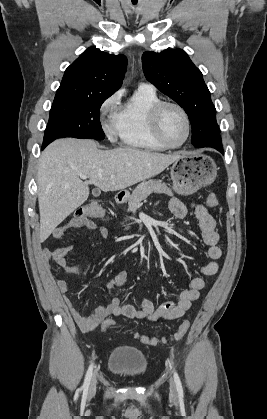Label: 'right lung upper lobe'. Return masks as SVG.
<instances>
[{"label":"right lung upper lobe","instance_id":"cb5924a9","mask_svg":"<svg viewBox=\"0 0 267 419\" xmlns=\"http://www.w3.org/2000/svg\"><path fill=\"white\" fill-rule=\"evenodd\" d=\"M126 66L124 55L88 48L66 69L56 95L111 96L120 88Z\"/></svg>","mask_w":267,"mask_h":419}]
</instances>
